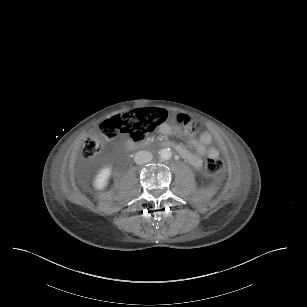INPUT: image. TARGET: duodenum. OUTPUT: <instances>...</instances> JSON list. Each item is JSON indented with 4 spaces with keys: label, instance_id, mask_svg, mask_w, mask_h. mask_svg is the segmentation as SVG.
<instances>
[{
    "label": "duodenum",
    "instance_id": "1",
    "mask_svg": "<svg viewBox=\"0 0 307 307\" xmlns=\"http://www.w3.org/2000/svg\"><path fill=\"white\" fill-rule=\"evenodd\" d=\"M147 146H148L147 143H142V144L136 146L135 148H137V149H144V148H146ZM165 146H166V147H169V148H174V144L171 143V142H166V143H165Z\"/></svg>",
    "mask_w": 307,
    "mask_h": 307
}]
</instances>
